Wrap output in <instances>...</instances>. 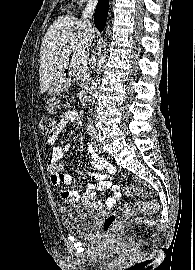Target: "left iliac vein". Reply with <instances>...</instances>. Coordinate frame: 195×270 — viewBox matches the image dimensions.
Masks as SVG:
<instances>
[{
  "label": "left iliac vein",
  "instance_id": "1",
  "mask_svg": "<svg viewBox=\"0 0 195 270\" xmlns=\"http://www.w3.org/2000/svg\"><path fill=\"white\" fill-rule=\"evenodd\" d=\"M92 142H93V145L96 148V150H98L99 152H102L104 150L103 147L101 146V144L98 141L97 130L95 128H93Z\"/></svg>",
  "mask_w": 195,
  "mask_h": 270
}]
</instances>
